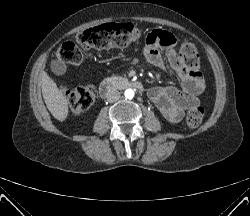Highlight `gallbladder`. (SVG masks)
<instances>
[{
  "instance_id": "bac80fb5",
  "label": "gallbladder",
  "mask_w": 250,
  "mask_h": 216,
  "mask_svg": "<svg viewBox=\"0 0 250 216\" xmlns=\"http://www.w3.org/2000/svg\"><path fill=\"white\" fill-rule=\"evenodd\" d=\"M50 67L52 72L56 75H63L67 71V66L59 61H52Z\"/></svg>"
}]
</instances>
